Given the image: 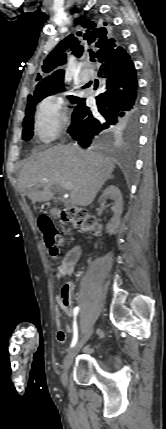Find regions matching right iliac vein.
Segmentation results:
<instances>
[{
	"mask_svg": "<svg viewBox=\"0 0 166 429\" xmlns=\"http://www.w3.org/2000/svg\"><path fill=\"white\" fill-rule=\"evenodd\" d=\"M93 334V328H90L85 335L77 342V344L68 352L67 356L65 357L64 364H63V372L61 375V381L63 385L67 384L68 380V369L70 365L73 362V359L81 349V347L87 342V340L91 337Z\"/></svg>",
	"mask_w": 166,
	"mask_h": 429,
	"instance_id": "63e3f726",
	"label": "right iliac vein"
}]
</instances>
